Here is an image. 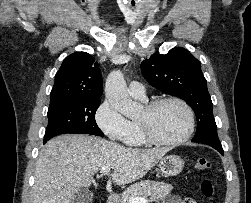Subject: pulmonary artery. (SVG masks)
<instances>
[{"label":"pulmonary artery","instance_id":"1","mask_svg":"<svg viewBox=\"0 0 251 203\" xmlns=\"http://www.w3.org/2000/svg\"><path fill=\"white\" fill-rule=\"evenodd\" d=\"M129 94L139 100L146 99V93L144 86L138 81H131L128 87Z\"/></svg>","mask_w":251,"mask_h":203}]
</instances>
